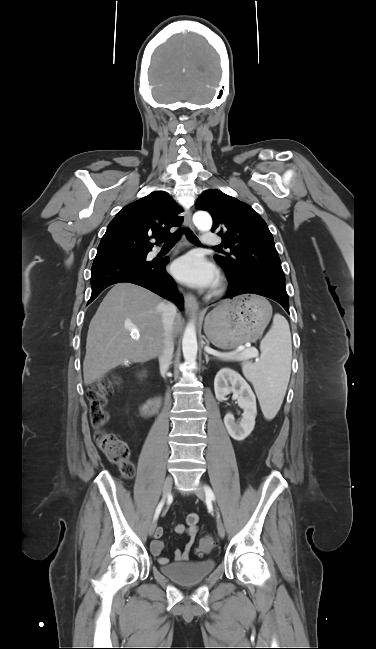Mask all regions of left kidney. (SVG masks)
<instances>
[{
    "instance_id": "5707ae66",
    "label": "left kidney",
    "mask_w": 376,
    "mask_h": 649,
    "mask_svg": "<svg viewBox=\"0 0 376 649\" xmlns=\"http://www.w3.org/2000/svg\"><path fill=\"white\" fill-rule=\"evenodd\" d=\"M214 391L219 401L225 400V396L230 393L237 396L238 405L244 411L242 419L236 423L233 414L229 412L224 417V424L233 439L244 440L254 429L257 415L256 397L251 387L239 373L224 368L215 376Z\"/></svg>"
}]
</instances>
